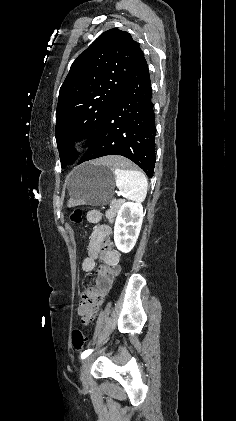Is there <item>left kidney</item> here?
I'll use <instances>...</instances> for the list:
<instances>
[{"label": "left kidney", "instance_id": "1", "mask_svg": "<svg viewBox=\"0 0 236 421\" xmlns=\"http://www.w3.org/2000/svg\"><path fill=\"white\" fill-rule=\"evenodd\" d=\"M143 208L138 202L120 206L114 227V243L122 253L132 251L141 231Z\"/></svg>", "mask_w": 236, "mask_h": 421}]
</instances>
